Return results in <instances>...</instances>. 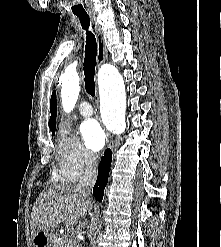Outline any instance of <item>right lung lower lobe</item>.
I'll list each match as a JSON object with an SVG mask.
<instances>
[{
    "mask_svg": "<svg viewBox=\"0 0 221 247\" xmlns=\"http://www.w3.org/2000/svg\"><path fill=\"white\" fill-rule=\"evenodd\" d=\"M111 161L112 153L110 149H107L99 163L98 177L93 188V195L98 201H102L103 199L104 189L108 182Z\"/></svg>",
    "mask_w": 221,
    "mask_h": 247,
    "instance_id": "obj_1",
    "label": "right lung lower lobe"
}]
</instances>
